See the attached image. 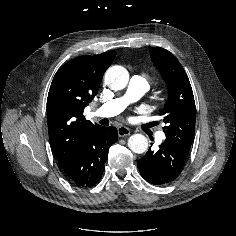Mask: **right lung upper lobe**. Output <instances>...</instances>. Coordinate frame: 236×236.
I'll use <instances>...</instances> for the list:
<instances>
[{"mask_svg": "<svg viewBox=\"0 0 236 236\" xmlns=\"http://www.w3.org/2000/svg\"><path fill=\"white\" fill-rule=\"evenodd\" d=\"M114 56L112 50L74 58L53 78L47 98L48 132L51 149L63 170L78 158L87 135L100 126L85 120L83 111L97 94Z\"/></svg>", "mask_w": 236, "mask_h": 236, "instance_id": "obj_1", "label": "right lung upper lobe"}]
</instances>
